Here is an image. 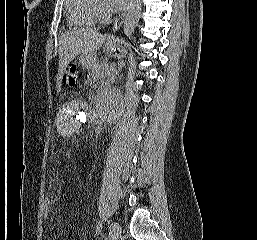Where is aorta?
<instances>
[{"label": "aorta", "mask_w": 257, "mask_h": 240, "mask_svg": "<svg viewBox=\"0 0 257 240\" xmlns=\"http://www.w3.org/2000/svg\"><path fill=\"white\" fill-rule=\"evenodd\" d=\"M142 12V0H134L123 22V31L126 37L134 32Z\"/></svg>", "instance_id": "aorta-1"}]
</instances>
